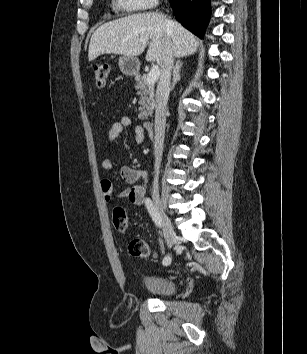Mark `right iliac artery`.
<instances>
[{
    "instance_id": "right-iliac-artery-1",
    "label": "right iliac artery",
    "mask_w": 307,
    "mask_h": 354,
    "mask_svg": "<svg viewBox=\"0 0 307 354\" xmlns=\"http://www.w3.org/2000/svg\"><path fill=\"white\" fill-rule=\"evenodd\" d=\"M145 205L155 224L158 227H161L162 224H161L160 214L150 198L145 199ZM170 263H171V257L169 255H166L162 261V264L164 266H167Z\"/></svg>"
}]
</instances>
